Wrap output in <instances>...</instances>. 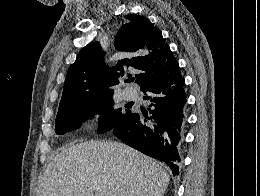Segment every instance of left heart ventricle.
Instances as JSON below:
<instances>
[{
  "label": "left heart ventricle",
  "mask_w": 260,
  "mask_h": 196,
  "mask_svg": "<svg viewBox=\"0 0 260 196\" xmlns=\"http://www.w3.org/2000/svg\"><path fill=\"white\" fill-rule=\"evenodd\" d=\"M102 192H109L108 190H101ZM53 192H66V190H53Z\"/></svg>",
  "instance_id": "obj_1"
}]
</instances>
